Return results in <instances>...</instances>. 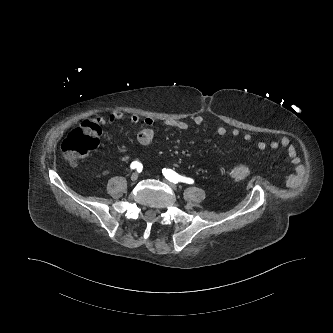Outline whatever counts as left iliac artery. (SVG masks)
<instances>
[{
  "label": "left iliac artery",
  "mask_w": 333,
  "mask_h": 333,
  "mask_svg": "<svg viewBox=\"0 0 333 333\" xmlns=\"http://www.w3.org/2000/svg\"><path fill=\"white\" fill-rule=\"evenodd\" d=\"M164 176L166 179H168L170 182L173 183H178V182H184L187 184H193L194 180L185 176H181L179 174H177L175 171L171 170V169H163L162 170Z\"/></svg>",
  "instance_id": "obj_1"
}]
</instances>
